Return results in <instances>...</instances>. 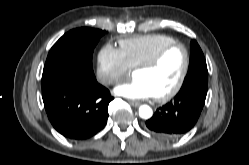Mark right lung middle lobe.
I'll use <instances>...</instances> for the list:
<instances>
[{"instance_id":"dd1d6c3e","label":"right lung middle lobe","mask_w":249,"mask_h":165,"mask_svg":"<svg viewBox=\"0 0 249 165\" xmlns=\"http://www.w3.org/2000/svg\"><path fill=\"white\" fill-rule=\"evenodd\" d=\"M105 31L93 28H77L64 34L51 48L47 66H64L95 79L92 67L93 50Z\"/></svg>"}]
</instances>
